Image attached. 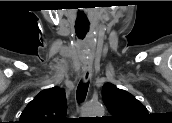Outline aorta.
I'll return each mask as SVG.
<instances>
[{
	"label": "aorta",
	"instance_id": "1",
	"mask_svg": "<svg viewBox=\"0 0 172 123\" xmlns=\"http://www.w3.org/2000/svg\"><path fill=\"white\" fill-rule=\"evenodd\" d=\"M104 113L102 105L98 103L89 102L85 105L84 115L87 117H97Z\"/></svg>",
	"mask_w": 172,
	"mask_h": 123
}]
</instances>
